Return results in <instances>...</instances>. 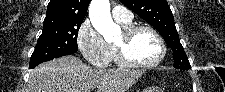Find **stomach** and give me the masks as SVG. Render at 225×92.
Listing matches in <instances>:
<instances>
[{
    "mask_svg": "<svg viewBox=\"0 0 225 92\" xmlns=\"http://www.w3.org/2000/svg\"><path fill=\"white\" fill-rule=\"evenodd\" d=\"M143 92H162V91L158 88H148L145 89Z\"/></svg>",
    "mask_w": 225,
    "mask_h": 92,
    "instance_id": "1",
    "label": "stomach"
}]
</instances>
